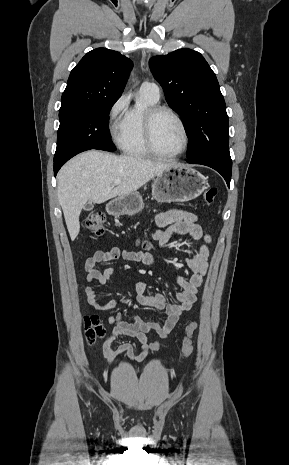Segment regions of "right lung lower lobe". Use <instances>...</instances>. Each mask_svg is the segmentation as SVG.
I'll list each match as a JSON object with an SVG mask.
<instances>
[{
  "mask_svg": "<svg viewBox=\"0 0 289 465\" xmlns=\"http://www.w3.org/2000/svg\"><path fill=\"white\" fill-rule=\"evenodd\" d=\"M67 160L59 161V162H54V175L56 176L57 172L61 168V166L66 162Z\"/></svg>",
  "mask_w": 289,
  "mask_h": 465,
  "instance_id": "1",
  "label": "right lung lower lobe"
}]
</instances>
